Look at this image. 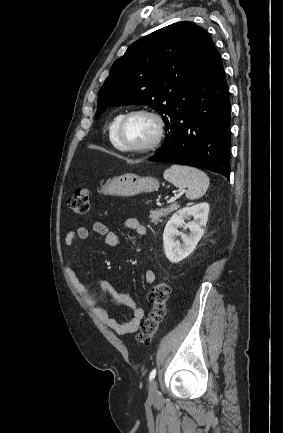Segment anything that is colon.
Returning <instances> with one entry per match:
<instances>
[{
	"label": "colon",
	"instance_id": "1",
	"mask_svg": "<svg viewBox=\"0 0 283 433\" xmlns=\"http://www.w3.org/2000/svg\"><path fill=\"white\" fill-rule=\"evenodd\" d=\"M69 208L78 215H85L90 209V192L86 187H78L68 201ZM171 287L167 280L154 285L148 293V301L151 304L149 315L141 321L137 341L149 344L157 333L160 324L167 313Z\"/></svg>",
	"mask_w": 283,
	"mask_h": 433
}]
</instances>
